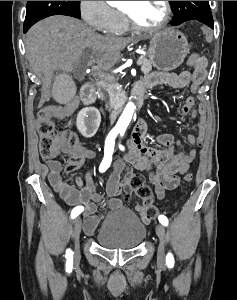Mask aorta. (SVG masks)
Returning a JSON list of instances; mask_svg holds the SVG:
<instances>
[{"label": "aorta", "mask_w": 237, "mask_h": 300, "mask_svg": "<svg viewBox=\"0 0 237 300\" xmlns=\"http://www.w3.org/2000/svg\"><path fill=\"white\" fill-rule=\"evenodd\" d=\"M134 111V103H127L120 119H118L117 127H119V129H122V131H126L129 123H131Z\"/></svg>", "instance_id": "762f6f07"}]
</instances>
